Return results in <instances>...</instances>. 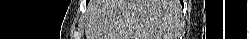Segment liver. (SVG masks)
Masks as SVG:
<instances>
[{
  "label": "liver",
  "mask_w": 249,
  "mask_h": 39,
  "mask_svg": "<svg viewBox=\"0 0 249 39\" xmlns=\"http://www.w3.org/2000/svg\"><path fill=\"white\" fill-rule=\"evenodd\" d=\"M172 0H98L91 3L87 39H166Z\"/></svg>",
  "instance_id": "6515ba94"
}]
</instances>
